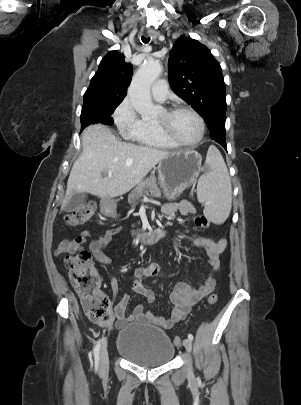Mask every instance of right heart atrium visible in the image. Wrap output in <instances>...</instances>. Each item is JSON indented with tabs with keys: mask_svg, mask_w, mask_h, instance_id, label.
Instances as JSON below:
<instances>
[{
	"mask_svg": "<svg viewBox=\"0 0 301 405\" xmlns=\"http://www.w3.org/2000/svg\"><path fill=\"white\" fill-rule=\"evenodd\" d=\"M113 119L119 131L129 136L141 123L131 101L125 98L114 110Z\"/></svg>",
	"mask_w": 301,
	"mask_h": 405,
	"instance_id": "1",
	"label": "right heart atrium"
}]
</instances>
